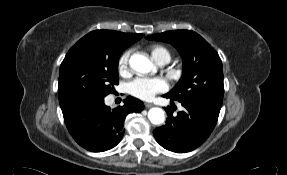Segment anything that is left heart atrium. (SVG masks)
I'll return each instance as SVG.
<instances>
[{
  "label": "left heart atrium",
  "mask_w": 287,
  "mask_h": 175,
  "mask_svg": "<svg viewBox=\"0 0 287 175\" xmlns=\"http://www.w3.org/2000/svg\"><path fill=\"white\" fill-rule=\"evenodd\" d=\"M168 89L167 82L161 77L140 76L128 84V92L139 99L150 100L156 94Z\"/></svg>",
  "instance_id": "obj_1"
}]
</instances>
